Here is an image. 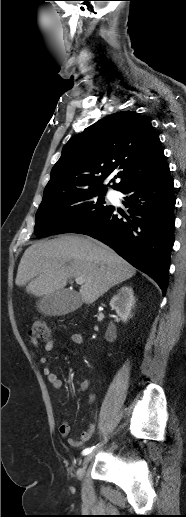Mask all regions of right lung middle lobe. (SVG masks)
Segmentation results:
<instances>
[{
    "label": "right lung middle lobe",
    "mask_w": 186,
    "mask_h": 517,
    "mask_svg": "<svg viewBox=\"0 0 186 517\" xmlns=\"http://www.w3.org/2000/svg\"><path fill=\"white\" fill-rule=\"evenodd\" d=\"M105 192L81 191L42 202L36 213L35 235L42 238L49 234L69 233L90 223L111 209L104 202Z\"/></svg>",
    "instance_id": "right-lung-middle-lobe-1"
}]
</instances>
